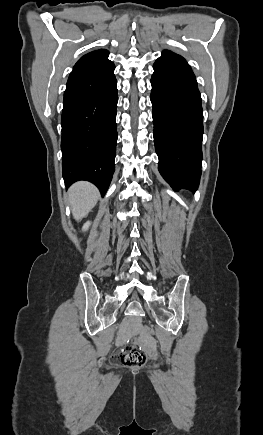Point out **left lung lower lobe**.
I'll return each instance as SVG.
<instances>
[{"mask_svg":"<svg viewBox=\"0 0 263 435\" xmlns=\"http://www.w3.org/2000/svg\"><path fill=\"white\" fill-rule=\"evenodd\" d=\"M151 77L159 171L174 190L196 191L201 176L203 112L190 68L158 58Z\"/></svg>","mask_w":263,"mask_h":435,"instance_id":"0a47b994","label":"left lung lower lobe"}]
</instances>
